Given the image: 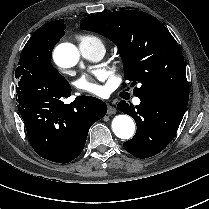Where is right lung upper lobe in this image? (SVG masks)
Segmentation results:
<instances>
[{
	"mask_svg": "<svg viewBox=\"0 0 209 209\" xmlns=\"http://www.w3.org/2000/svg\"><path fill=\"white\" fill-rule=\"evenodd\" d=\"M61 20H63V19H60V20H57V21L48 22V23L44 24L41 28H42V29H47V28H49V27H52V26L55 25L58 21H61ZM63 21H64V20H63Z\"/></svg>",
	"mask_w": 209,
	"mask_h": 209,
	"instance_id": "cb5924a9",
	"label": "right lung upper lobe"
}]
</instances>
